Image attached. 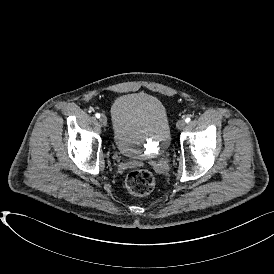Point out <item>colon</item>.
I'll list each match as a JSON object with an SVG mask.
<instances>
[{
  "mask_svg": "<svg viewBox=\"0 0 274 274\" xmlns=\"http://www.w3.org/2000/svg\"><path fill=\"white\" fill-rule=\"evenodd\" d=\"M127 190L135 196H146L156 185V178L146 170H137L130 173L125 180Z\"/></svg>",
  "mask_w": 274,
  "mask_h": 274,
  "instance_id": "colon-1",
  "label": "colon"
}]
</instances>
